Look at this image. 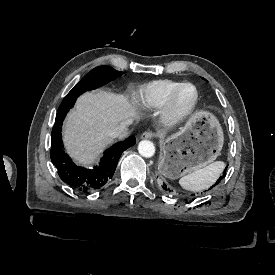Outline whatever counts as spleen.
I'll list each match as a JSON object with an SVG mask.
<instances>
[{"mask_svg": "<svg viewBox=\"0 0 275 275\" xmlns=\"http://www.w3.org/2000/svg\"><path fill=\"white\" fill-rule=\"evenodd\" d=\"M224 168V162L216 161L197 171L183 176L179 180V183L183 188L191 191L207 189L214 184Z\"/></svg>", "mask_w": 275, "mask_h": 275, "instance_id": "spleen-1", "label": "spleen"}]
</instances>
